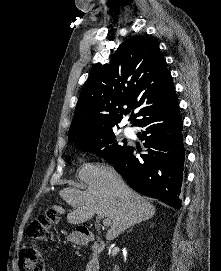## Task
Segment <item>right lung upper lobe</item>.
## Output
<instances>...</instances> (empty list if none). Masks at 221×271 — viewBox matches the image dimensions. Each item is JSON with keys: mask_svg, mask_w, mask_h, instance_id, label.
Segmentation results:
<instances>
[{"mask_svg": "<svg viewBox=\"0 0 221 271\" xmlns=\"http://www.w3.org/2000/svg\"><path fill=\"white\" fill-rule=\"evenodd\" d=\"M177 101L157 42L145 36L131 38L119 46L110 65L98 64L91 71L81 89L68 138L72 141L112 129L123 115L137 108L130 118L136 124Z\"/></svg>", "mask_w": 221, "mask_h": 271, "instance_id": "1", "label": "right lung upper lobe"}]
</instances>
